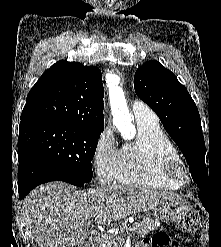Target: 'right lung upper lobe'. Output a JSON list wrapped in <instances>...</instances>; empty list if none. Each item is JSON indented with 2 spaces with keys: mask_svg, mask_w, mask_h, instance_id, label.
Instances as JSON below:
<instances>
[{
  "mask_svg": "<svg viewBox=\"0 0 221 247\" xmlns=\"http://www.w3.org/2000/svg\"><path fill=\"white\" fill-rule=\"evenodd\" d=\"M103 97L102 74L97 67L58 61L30 90L20 129L73 124L101 133L104 130Z\"/></svg>",
  "mask_w": 221,
  "mask_h": 247,
  "instance_id": "cb5924a9",
  "label": "right lung upper lobe"
}]
</instances>
